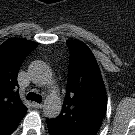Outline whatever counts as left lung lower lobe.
I'll return each instance as SVG.
<instances>
[{"label":"left lung lower lobe","instance_id":"1","mask_svg":"<svg viewBox=\"0 0 135 135\" xmlns=\"http://www.w3.org/2000/svg\"><path fill=\"white\" fill-rule=\"evenodd\" d=\"M46 121H47L48 130H49L50 135H61V134L57 133V132L51 127V125H50L48 119H46Z\"/></svg>","mask_w":135,"mask_h":135}]
</instances>
